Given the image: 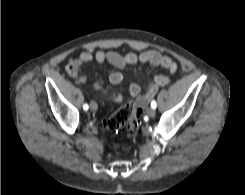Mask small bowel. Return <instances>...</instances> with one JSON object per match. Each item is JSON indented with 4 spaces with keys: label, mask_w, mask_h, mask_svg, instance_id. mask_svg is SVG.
Returning a JSON list of instances; mask_svg holds the SVG:
<instances>
[{
    "label": "small bowel",
    "mask_w": 245,
    "mask_h": 195,
    "mask_svg": "<svg viewBox=\"0 0 245 195\" xmlns=\"http://www.w3.org/2000/svg\"><path fill=\"white\" fill-rule=\"evenodd\" d=\"M92 61H96L99 64L108 62L118 69H123L126 66H132L137 63H149L156 67H162L168 70L171 74H175L178 68L176 62L172 60L171 57L154 49L143 51L140 54H136L134 52L119 54L114 51L102 50H98L94 53L85 51L80 54L78 59L79 64L89 63ZM80 79L81 82H85L83 75H81ZM123 80L124 75L120 71H115L110 75V82L114 85H120ZM168 82L169 79L167 76L158 74L149 82L144 93L141 94V88L136 83L129 84L128 90L130 95L136 99V103L138 105L145 106L156 94L158 88L167 85ZM94 87L96 89H101V85L99 83H95ZM106 96L109 100L114 102L120 103L123 101V96L116 92L106 91Z\"/></svg>",
    "instance_id": "obj_1"
}]
</instances>
